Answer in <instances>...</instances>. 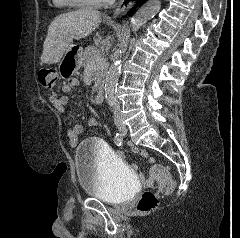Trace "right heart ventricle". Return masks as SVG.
I'll list each match as a JSON object with an SVG mask.
<instances>
[{
	"instance_id": "e07e8e85",
	"label": "right heart ventricle",
	"mask_w": 240,
	"mask_h": 238,
	"mask_svg": "<svg viewBox=\"0 0 240 238\" xmlns=\"http://www.w3.org/2000/svg\"><path fill=\"white\" fill-rule=\"evenodd\" d=\"M52 1L58 7H63V8L78 7L70 4L69 2H67V0H52Z\"/></svg>"
}]
</instances>
